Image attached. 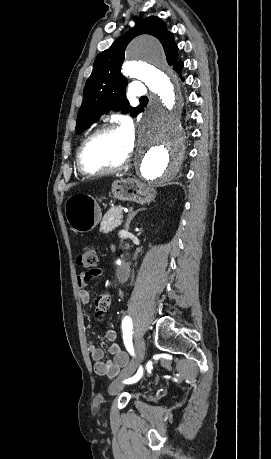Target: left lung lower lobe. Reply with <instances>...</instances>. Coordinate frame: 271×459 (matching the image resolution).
Returning a JSON list of instances; mask_svg holds the SVG:
<instances>
[{
	"mask_svg": "<svg viewBox=\"0 0 271 459\" xmlns=\"http://www.w3.org/2000/svg\"><path fill=\"white\" fill-rule=\"evenodd\" d=\"M173 68H174L175 71H177V72L180 74V71H181V69L183 68V63H182L181 61H179L178 63H176V64L174 65Z\"/></svg>",
	"mask_w": 271,
	"mask_h": 459,
	"instance_id": "0a47b994",
	"label": "left lung lower lobe"
}]
</instances>
